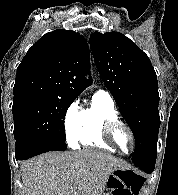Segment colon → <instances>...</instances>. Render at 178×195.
<instances>
[{"mask_svg": "<svg viewBox=\"0 0 178 195\" xmlns=\"http://www.w3.org/2000/svg\"><path fill=\"white\" fill-rule=\"evenodd\" d=\"M143 184H144V178L142 176L135 179L134 184L131 186L132 187L131 195H137V193L139 192Z\"/></svg>", "mask_w": 178, "mask_h": 195, "instance_id": "obj_1", "label": "colon"}]
</instances>
